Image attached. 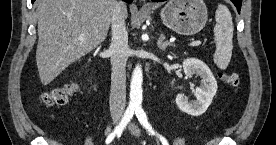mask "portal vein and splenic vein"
I'll return each mask as SVG.
<instances>
[{"label":"portal vein and splenic vein","instance_id":"1","mask_svg":"<svg viewBox=\"0 0 276 145\" xmlns=\"http://www.w3.org/2000/svg\"><path fill=\"white\" fill-rule=\"evenodd\" d=\"M80 39L83 40V37H80ZM201 43L202 42L200 40H196V41L191 42L190 46H192V47L199 46V45H201Z\"/></svg>","mask_w":276,"mask_h":145}]
</instances>
